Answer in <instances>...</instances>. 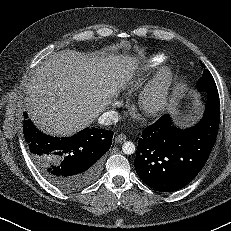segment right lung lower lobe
Here are the masks:
<instances>
[{"instance_id": "1", "label": "right lung lower lobe", "mask_w": 231, "mask_h": 231, "mask_svg": "<svg viewBox=\"0 0 231 231\" xmlns=\"http://www.w3.org/2000/svg\"><path fill=\"white\" fill-rule=\"evenodd\" d=\"M25 140L40 173L66 192L93 182L102 169L103 155L110 149L113 131L85 128L71 137H52L39 131L23 114Z\"/></svg>"}]
</instances>
